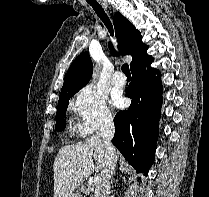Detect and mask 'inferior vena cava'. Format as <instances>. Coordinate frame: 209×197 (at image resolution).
<instances>
[{
    "instance_id": "602c4592",
    "label": "inferior vena cava",
    "mask_w": 209,
    "mask_h": 197,
    "mask_svg": "<svg viewBox=\"0 0 209 197\" xmlns=\"http://www.w3.org/2000/svg\"><path fill=\"white\" fill-rule=\"evenodd\" d=\"M114 132L115 125L113 118L112 116H108L103 120L97 131V136L103 141L106 149V164L101 172L103 182L100 197H109L110 195V184L117 161L116 149L111 142L114 137Z\"/></svg>"
}]
</instances>
